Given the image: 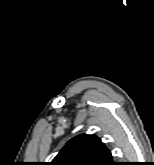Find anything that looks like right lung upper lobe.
Instances as JSON below:
<instances>
[{
	"instance_id": "right-lung-upper-lobe-1",
	"label": "right lung upper lobe",
	"mask_w": 154,
	"mask_h": 165,
	"mask_svg": "<svg viewBox=\"0 0 154 165\" xmlns=\"http://www.w3.org/2000/svg\"><path fill=\"white\" fill-rule=\"evenodd\" d=\"M52 165H114L108 148L95 135H78L62 148Z\"/></svg>"
}]
</instances>
